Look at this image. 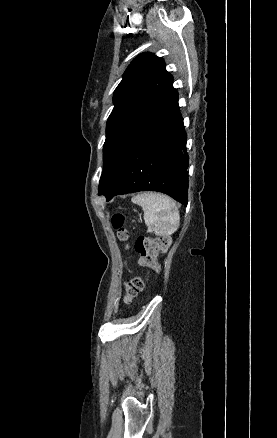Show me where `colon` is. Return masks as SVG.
<instances>
[{"instance_id":"obj_1","label":"colon","mask_w":277,"mask_h":438,"mask_svg":"<svg viewBox=\"0 0 277 438\" xmlns=\"http://www.w3.org/2000/svg\"><path fill=\"white\" fill-rule=\"evenodd\" d=\"M125 217L117 214L112 219V226L117 229L119 239L125 241L129 237V232L123 229ZM170 242L164 237H151L148 235H138L135 240V251L140 256V265L144 268L158 270L157 257L167 250ZM143 290V278L135 275L125 283V300L131 301L138 293Z\"/></svg>"}]
</instances>
